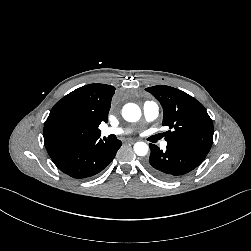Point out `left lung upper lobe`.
<instances>
[{
	"instance_id": "5c2ea615",
	"label": "left lung upper lobe",
	"mask_w": 251,
	"mask_h": 251,
	"mask_svg": "<svg viewBox=\"0 0 251 251\" xmlns=\"http://www.w3.org/2000/svg\"><path fill=\"white\" fill-rule=\"evenodd\" d=\"M162 105L165 140L209 152L213 143V123L205 107L192 96L176 88L158 85L146 88Z\"/></svg>"
}]
</instances>
